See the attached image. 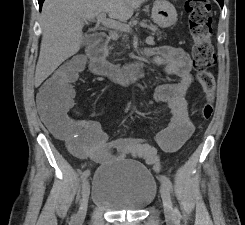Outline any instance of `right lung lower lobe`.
I'll list each match as a JSON object with an SVG mask.
<instances>
[{
  "label": "right lung lower lobe",
  "mask_w": 245,
  "mask_h": 225,
  "mask_svg": "<svg viewBox=\"0 0 245 225\" xmlns=\"http://www.w3.org/2000/svg\"><path fill=\"white\" fill-rule=\"evenodd\" d=\"M44 0H38V3H39V7L40 9L42 8V4H43Z\"/></svg>",
  "instance_id": "98d812e1"
}]
</instances>
